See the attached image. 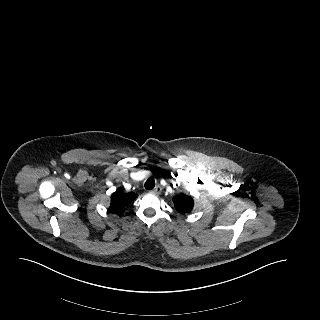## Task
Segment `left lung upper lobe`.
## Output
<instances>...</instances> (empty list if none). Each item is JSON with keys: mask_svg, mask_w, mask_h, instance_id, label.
Returning <instances> with one entry per match:
<instances>
[{"mask_svg": "<svg viewBox=\"0 0 320 320\" xmlns=\"http://www.w3.org/2000/svg\"><path fill=\"white\" fill-rule=\"evenodd\" d=\"M176 210L181 214L190 213L194 206L193 198L186 194H180L173 198Z\"/></svg>", "mask_w": 320, "mask_h": 320, "instance_id": "1", "label": "left lung upper lobe"}]
</instances>
